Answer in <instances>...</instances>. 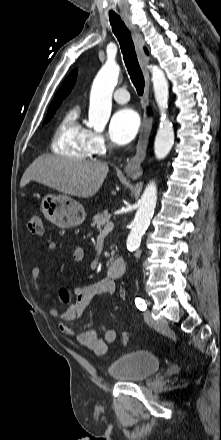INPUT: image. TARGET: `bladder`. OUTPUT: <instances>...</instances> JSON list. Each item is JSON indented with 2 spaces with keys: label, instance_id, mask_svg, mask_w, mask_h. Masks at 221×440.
Returning <instances> with one entry per match:
<instances>
[{
  "label": "bladder",
  "instance_id": "1",
  "mask_svg": "<svg viewBox=\"0 0 221 440\" xmlns=\"http://www.w3.org/2000/svg\"><path fill=\"white\" fill-rule=\"evenodd\" d=\"M160 359L146 350L125 353L107 367L109 376L119 382H143L160 367Z\"/></svg>",
  "mask_w": 221,
  "mask_h": 440
}]
</instances>
